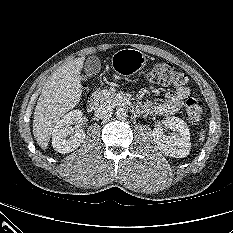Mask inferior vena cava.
Wrapping results in <instances>:
<instances>
[{
    "mask_svg": "<svg viewBox=\"0 0 233 233\" xmlns=\"http://www.w3.org/2000/svg\"><path fill=\"white\" fill-rule=\"evenodd\" d=\"M94 113H95V116L99 119H107L112 115L113 109L108 104L101 103L95 109Z\"/></svg>",
    "mask_w": 233,
    "mask_h": 233,
    "instance_id": "1",
    "label": "inferior vena cava"
}]
</instances>
